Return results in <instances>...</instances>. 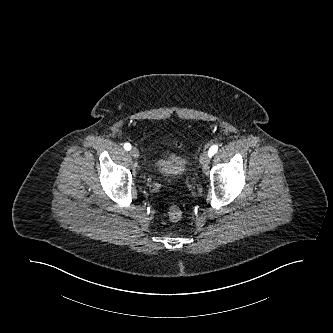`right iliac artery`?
<instances>
[{"label": "right iliac artery", "instance_id": "right-iliac-artery-1", "mask_svg": "<svg viewBox=\"0 0 333 333\" xmlns=\"http://www.w3.org/2000/svg\"><path fill=\"white\" fill-rule=\"evenodd\" d=\"M124 149L127 150V151L130 150L131 149L130 143H125L124 144Z\"/></svg>", "mask_w": 333, "mask_h": 333}]
</instances>
